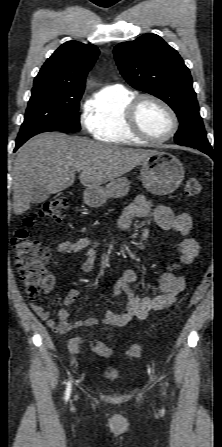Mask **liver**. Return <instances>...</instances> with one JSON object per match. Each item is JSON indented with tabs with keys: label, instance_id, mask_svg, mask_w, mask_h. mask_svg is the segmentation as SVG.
<instances>
[{
	"label": "liver",
	"instance_id": "6515ba94",
	"mask_svg": "<svg viewBox=\"0 0 222 447\" xmlns=\"http://www.w3.org/2000/svg\"><path fill=\"white\" fill-rule=\"evenodd\" d=\"M154 152L96 143L59 132L39 134L19 149L14 161V214L30 209L37 188L56 194L74 183L76 171H81L82 185L98 187L131 171Z\"/></svg>",
	"mask_w": 222,
	"mask_h": 447
}]
</instances>
